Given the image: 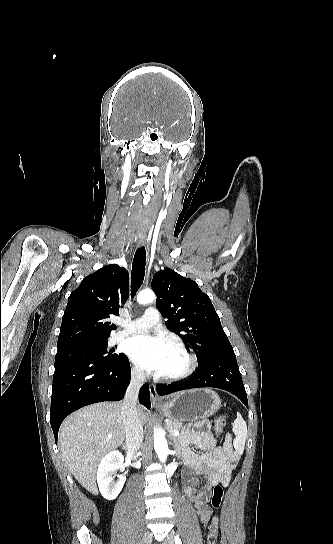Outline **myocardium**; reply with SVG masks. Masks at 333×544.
Segmentation results:
<instances>
[{"label": "myocardium", "instance_id": "1", "mask_svg": "<svg viewBox=\"0 0 333 544\" xmlns=\"http://www.w3.org/2000/svg\"><path fill=\"white\" fill-rule=\"evenodd\" d=\"M170 345L185 357L186 366L181 371L174 374H159L158 378L166 382H177L184 380L196 371L198 367V359L196 355L193 354L184 343L180 341H172Z\"/></svg>", "mask_w": 333, "mask_h": 544}]
</instances>
